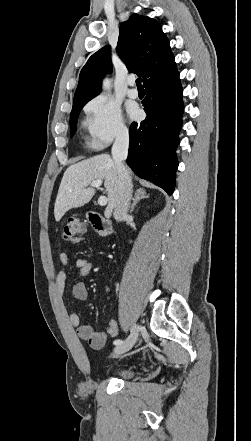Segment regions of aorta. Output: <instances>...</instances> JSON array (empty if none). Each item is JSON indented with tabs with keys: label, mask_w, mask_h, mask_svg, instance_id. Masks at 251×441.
<instances>
[{
	"label": "aorta",
	"mask_w": 251,
	"mask_h": 441,
	"mask_svg": "<svg viewBox=\"0 0 251 441\" xmlns=\"http://www.w3.org/2000/svg\"><path fill=\"white\" fill-rule=\"evenodd\" d=\"M111 87V80L109 78H105L103 81V89L109 91Z\"/></svg>",
	"instance_id": "762f6f07"
}]
</instances>
